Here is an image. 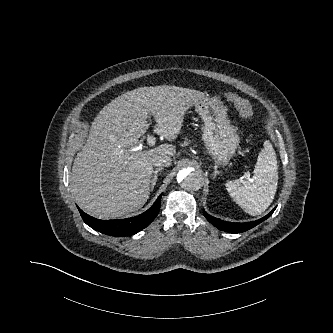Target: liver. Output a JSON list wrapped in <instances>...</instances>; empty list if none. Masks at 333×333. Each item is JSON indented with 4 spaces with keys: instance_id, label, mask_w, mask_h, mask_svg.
Here are the masks:
<instances>
[{
    "instance_id": "obj_1",
    "label": "liver",
    "mask_w": 333,
    "mask_h": 333,
    "mask_svg": "<svg viewBox=\"0 0 333 333\" xmlns=\"http://www.w3.org/2000/svg\"><path fill=\"white\" fill-rule=\"evenodd\" d=\"M203 92L178 86L139 87L107 104L94 118L87 142L73 163L70 187L78 205L99 219H113L140 209L147 201L153 177V159L172 157L175 146L150 150L139 139L147 132L148 115L155 133L173 141L184 115Z\"/></svg>"
}]
</instances>
